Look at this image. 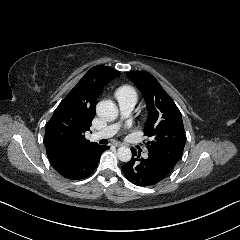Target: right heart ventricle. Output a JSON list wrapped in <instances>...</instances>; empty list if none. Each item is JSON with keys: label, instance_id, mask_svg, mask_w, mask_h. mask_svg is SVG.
Here are the masks:
<instances>
[{"label": "right heart ventricle", "instance_id": "1", "mask_svg": "<svg viewBox=\"0 0 240 240\" xmlns=\"http://www.w3.org/2000/svg\"><path fill=\"white\" fill-rule=\"evenodd\" d=\"M116 98L120 104L135 103L137 100L136 91L130 86H124L117 90Z\"/></svg>", "mask_w": 240, "mask_h": 240}]
</instances>
